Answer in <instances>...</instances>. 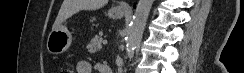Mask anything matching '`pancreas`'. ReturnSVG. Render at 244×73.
<instances>
[{
    "instance_id": "pancreas-1",
    "label": "pancreas",
    "mask_w": 244,
    "mask_h": 73,
    "mask_svg": "<svg viewBox=\"0 0 244 73\" xmlns=\"http://www.w3.org/2000/svg\"><path fill=\"white\" fill-rule=\"evenodd\" d=\"M101 49H102V37L97 35L87 45V51L92 54V53H96L97 51H100Z\"/></svg>"
}]
</instances>
